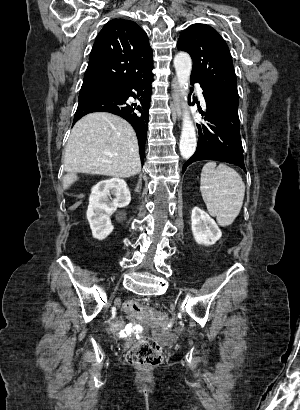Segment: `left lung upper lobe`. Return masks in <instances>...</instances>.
<instances>
[{
	"label": "left lung upper lobe",
	"mask_w": 300,
	"mask_h": 410,
	"mask_svg": "<svg viewBox=\"0 0 300 410\" xmlns=\"http://www.w3.org/2000/svg\"><path fill=\"white\" fill-rule=\"evenodd\" d=\"M177 48L188 52L193 60L191 78L238 104L237 80L230 51L214 28L199 23L189 26L181 33Z\"/></svg>",
	"instance_id": "5c2ea615"
}]
</instances>
